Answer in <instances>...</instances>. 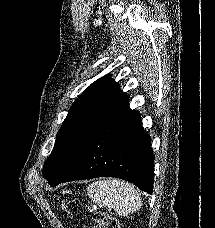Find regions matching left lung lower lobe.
Returning a JSON list of instances; mask_svg holds the SVG:
<instances>
[{
    "label": "left lung lower lobe",
    "instance_id": "1",
    "mask_svg": "<svg viewBox=\"0 0 215 228\" xmlns=\"http://www.w3.org/2000/svg\"><path fill=\"white\" fill-rule=\"evenodd\" d=\"M150 141L139 113L131 110L127 101L48 182L55 187L68 181L110 176L127 180L152 194L154 155Z\"/></svg>",
    "mask_w": 215,
    "mask_h": 228
}]
</instances>
